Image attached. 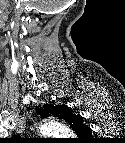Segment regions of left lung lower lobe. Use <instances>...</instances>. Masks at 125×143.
<instances>
[{
	"label": "left lung lower lobe",
	"mask_w": 125,
	"mask_h": 143,
	"mask_svg": "<svg viewBox=\"0 0 125 143\" xmlns=\"http://www.w3.org/2000/svg\"><path fill=\"white\" fill-rule=\"evenodd\" d=\"M65 109H66V112H65L64 120H65L70 126H72V125H74V124L79 123V122L82 121V118H81L80 116H78V115L73 114V113L70 111V109L68 108V106H67ZM90 135H91V131H89V133H87V134H82V135H80V136H83V137L87 138V137H90Z\"/></svg>",
	"instance_id": "obj_1"
}]
</instances>
